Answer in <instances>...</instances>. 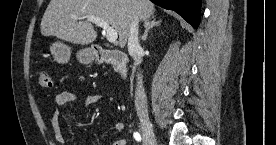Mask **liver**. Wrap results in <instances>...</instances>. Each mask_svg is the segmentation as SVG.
Segmentation results:
<instances>
[{"label": "liver", "instance_id": "obj_1", "mask_svg": "<svg viewBox=\"0 0 276 145\" xmlns=\"http://www.w3.org/2000/svg\"><path fill=\"white\" fill-rule=\"evenodd\" d=\"M154 12V4L149 0H51L41 20V34L88 45L95 41L97 32L84 19L93 15L105 20L117 31L119 45L123 48L134 17L146 21Z\"/></svg>", "mask_w": 276, "mask_h": 145}]
</instances>
